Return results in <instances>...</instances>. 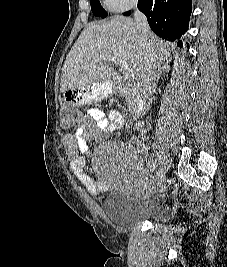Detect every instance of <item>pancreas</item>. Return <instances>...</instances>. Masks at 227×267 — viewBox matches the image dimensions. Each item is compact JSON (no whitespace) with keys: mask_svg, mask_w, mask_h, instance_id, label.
Masks as SVG:
<instances>
[{"mask_svg":"<svg viewBox=\"0 0 227 267\" xmlns=\"http://www.w3.org/2000/svg\"><path fill=\"white\" fill-rule=\"evenodd\" d=\"M126 104L130 106V108H134L135 102L133 97L126 98Z\"/></svg>","mask_w":227,"mask_h":267,"instance_id":"1","label":"pancreas"}]
</instances>
